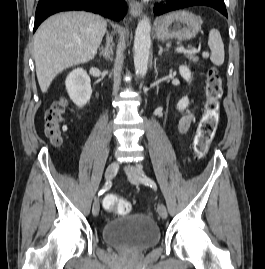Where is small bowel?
Listing matches in <instances>:
<instances>
[{
    "instance_id": "obj_1",
    "label": "small bowel",
    "mask_w": 265,
    "mask_h": 269,
    "mask_svg": "<svg viewBox=\"0 0 265 269\" xmlns=\"http://www.w3.org/2000/svg\"><path fill=\"white\" fill-rule=\"evenodd\" d=\"M192 120H193V114L192 113H189V114L183 116L180 119L179 124H178L179 133H181V134L185 133L189 129V127H190V125L192 123Z\"/></svg>"
}]
</instances>
